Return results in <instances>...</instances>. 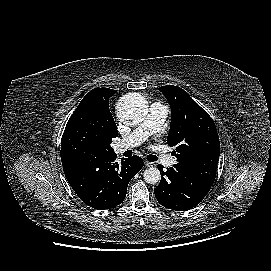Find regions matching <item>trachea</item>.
I'll return each instance as SVG.
<instances>
[{
  "label": "trachea",
  "instance_id": "1",
  "mask_svg": "<svg viewBox=\"0 0 271 271\" xmlns=\"http://www.w3.org/2000/svg\"><path fill=\"white\" fill-rule=\"evenodd\" d=\"M147 160L150 161V162L157 161V156H155V155H148L147 156Z\"/></svg>",
  "mask_w": 271,
  "mask_h": 271
}]
</instances>
